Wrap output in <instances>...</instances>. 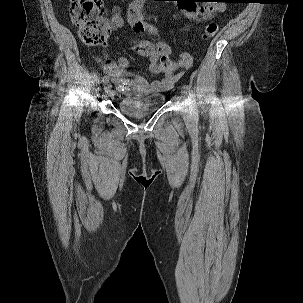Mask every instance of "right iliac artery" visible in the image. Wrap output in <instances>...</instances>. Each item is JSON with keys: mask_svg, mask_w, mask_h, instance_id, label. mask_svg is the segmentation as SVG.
<instances>
[{"mask_svg": "<svg viewBox=\"0 0 303 303\" xmlns=\"http://www.w3.org/2000/svg\"><path fill=\"white\" fill-rule=\"evenodd\" d=\"M108 81H109V77H108L107 75L103 76L101 82H102L103 84H105V83H107Z\"/></svg>", "mask_w": 303, "mask_h": 303, "instance_id": "obj_1", "label": "right iliac artery"}]
</instances>
